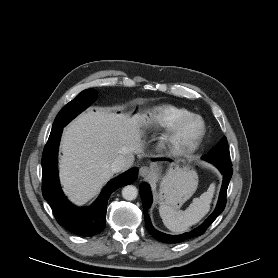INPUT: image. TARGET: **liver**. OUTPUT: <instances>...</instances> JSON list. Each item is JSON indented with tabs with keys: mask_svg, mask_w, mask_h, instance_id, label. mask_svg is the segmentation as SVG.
I'll return each mask as SVG.
<instances>
[{
	"mask_svg": "<svg viewBox=\"0 0 278 278\" xmlns=\"http://www.w3.org/2000/svg\"><path fill=\"white\" fill-rule=\"evenodd\" d=\"M145 115L117 114L99 108L82 113L64 130L61 141L60 179L75 204L93 198L113 176L111 163L124 156L128 167L134 154L144 155L142 127Z\"/></svg>",
	"mask_w": 278,
	"mask_h": 278,
	"instance_id": "obj_1",
	"label": "liver"
}]
</instances>
